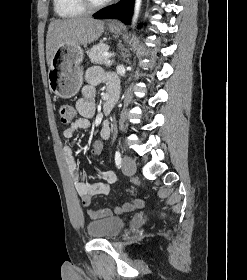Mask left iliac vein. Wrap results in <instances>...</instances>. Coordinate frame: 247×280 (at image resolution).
Here are the masks:
<instances>
[{"label": "left iliac vein", "instance_id": "4c4485c4", "mask_svg": "<svg viewBox=\"0 0 247 280\" xmlns=\"http://www.w3.org/2000/svg\"><path fill=\"white\" fill-rule=\"evenodd\" d=\"M122 171L124 174L131 176L134 175L136 172V164L135 161L129 157L124 156L122 159Z\"/></svg>", "mask_w": 247, "mask_h": 280}]
</instances>
